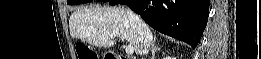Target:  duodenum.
Listing matches in <instances>:
<instances>
[{
  "instance_id": "410a0bca",
  "label": "duodenum",
  "mask_w": 261,
  "mask_h": 59,
  "mask_svg": "<svg viewBox=\"0 0 261 59\" xmlns=\"http://www.w3.org/2000/svg\"><path fill=\"white\" fill-rule=\"evenodd\" d=\"M109 58L110 59H128V57L121 56V55H118V54H115V53H111Z\"/></svg>"
}]
</instances>
